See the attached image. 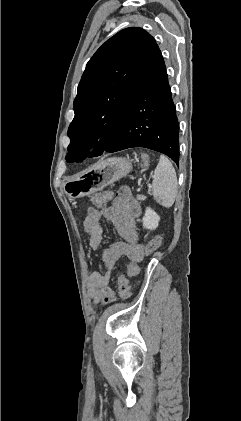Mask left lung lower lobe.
<instances>
[{
    "label": "left lung lower lobe",
    "mask_w": 241,
    "mask_h": 421,
    "mask_svg": "<svg viewBox=\"0 0 241 421\" xmlns=\"http://www.w3.org/2000/svg\"><path fill=\"white\" fill-rule=\"evenodd\" d=\"M132 147L161 152L179 164V122L162 54L156 44L109 153Z\"/></svg>",
    "instance_id": "0a47b994"
}]
</instances>
